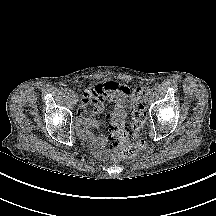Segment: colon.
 <instances>
[{"instance_id":"obj_1","label":"colon","mask_w":216,"mask_h":216,"mask_svg":"<svg viewBox=\"0 0 216 216\" xmlns=\"http://www.w3.org/2000/svg\"><path fill=\"white\" fill-rule=\"evenodd\" d=\"M91 90L88 87L86 91ZM142 89L136 88L131 94V120H116L109 124V146L113 150L112 159L115 162L134 157L145 147L144 140L137 136L143 128L147 115L141 103Z\"/></svg>"}]
</instances>
